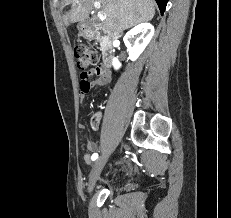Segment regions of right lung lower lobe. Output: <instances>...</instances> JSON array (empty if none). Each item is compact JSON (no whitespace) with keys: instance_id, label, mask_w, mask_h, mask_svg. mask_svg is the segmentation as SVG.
I'll return each instance as SVG.
<instances>
[{"instance_id":"1","label":"right lung lower lobe","mask_w":231,"mask_h":218,"mask_svg":"<svg viewBox=\"0 0 231 218\" xmlns=\"http://www.w3.org/2000/svg\"><path fill=\"white\" fill-rule=\"evenodd\" d=\"M158 4L161 14L164 13L168 0H155Z\"/></svg>"}]
</instances>
